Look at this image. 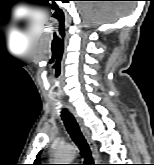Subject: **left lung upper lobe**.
Segmentation results:
<instances>
[{
    "mask_svg": "<svg viewBox=\"0 0 154 165\" xmlns=\"http://www.w3.org/2000/svg\"><path fill=\"white\" fill-rule=\"evenodd\" d=\"M40 154H41V152H39L38 155L36 156V160L34 161L33 165H41V163H40Z\"/></svg>",
    "mask_w": 154,
    "mask_h": 165,
    "instance_id": "1",
    "label": "left lung upper lobe"
}]
</instances>
